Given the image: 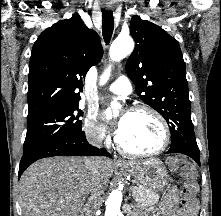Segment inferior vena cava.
Masks as SVG:
<instances>
[{
  "instance_id": "inferior-vena-cava-1",
  "label": "inferior vena cava",
  "mask_w": 221,
  "mask_h": 216,
  "mask_svg": "<svg viewBox=\"0 0 221 216\" xmlns=\"http://www.w3.org/2000/svg\"><path fill=\"white\" fill-rule=\"evenodd\" d=\"M89 142L94 146H101L102 139L99 133L93 134L89 137ZM88 173L90 175V197L88 205L85 209V216H96V212L100 206V197L103 187L100 182V173L98 163L95 159L89 158L86 162Z\"/></svg>"
}]
</instances>
